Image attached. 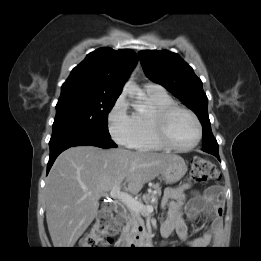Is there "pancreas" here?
Here are the masks:
<instances>
[{"label":"pancreas","mask_w":261,"mask_h":261,"mask_svg":"<svg viewBox=\"0 0 261 261\" xmlns=\"http://www.w3.org/2000/svg\"><path fill=\"white\" fill-rule=\"evenodd\" d=\"M161 196V186L160 184H152L148 193L143 195L142 199L148 204L157 205L158 199ZM154 200V201H152ZM124 219L126 225L123 227L121 232V237L125 240H129L134 242L136 240V236L143 238L146 235V230L144 226V221L141 218L140 213L135 212L127 207L124 210ZM139 227H142V231H139Z\"/></svg>","instance_id":"pancreas-1"}]
</instances>
